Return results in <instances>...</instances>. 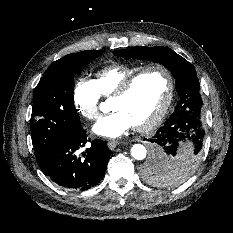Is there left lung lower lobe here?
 Returning a JSON list of instances; mask_svg holds the SVG:
<instances>
[{
    "label": "left lung lower lobe",
    "instance_id": "0a47b994",
    "mask_svg": "<svg viewBox=\"0 0 233 233\" xmlns=\"http://www.w3.org/2000/svg\"><path fill=\"white\" fill-rule=\"evenodd\" d=\"M205 131L199 119L167 120L149 139L153 151L145 174H157L160 164L166 160H177L202 153ZM158 182L175 183L173 178H159Z\"/></svg>",
    "mask_w": 233,
    "mask_h": 233
}]
</instances>
